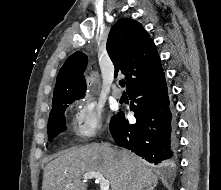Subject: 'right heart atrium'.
Instances as JSON below:
<instances>
[{"label": "right heart atrium", "instance_id": "right-heart-atrium-1", "mask_svg": "<svg viewBox=\"0 0 221 190\" xmlns=\"http://www.w3.org/2000/svg\"><path fill=\"white\" fill-rule=\"evenodd\" d=\"M103 108L91 97H82L73 103L72 126L76 136L87 140L103 129Z\"/></svg>", "mask_w": 221, "mask_h": 190}]
</instances>
